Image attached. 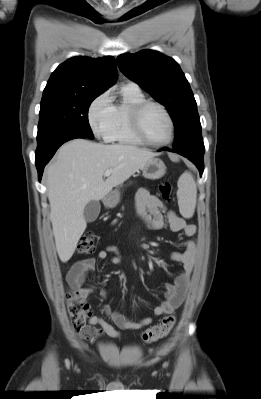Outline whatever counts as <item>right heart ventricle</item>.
<instances>
[{"label": "right heart ventricle", "mask_w": 261, "mask_h": 399, "mask_svg": "<svg viewBox=\"0 0 261 399\" xmlns=\"http://www.w3.org/2000/svg\"><path fill=\"white\" fill-rule=\"evenodd\" d=\"M122 102L113 105V122L109 135V141L123 144L141 145L143 144L132 133L129 123L130 108L143 100V93L139 90L122 88Z\"/></svg>", "instance_id": "1"}]
</instances>
